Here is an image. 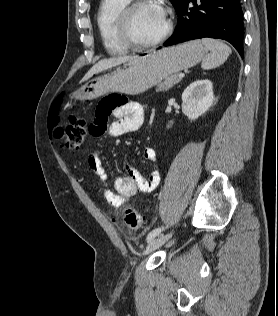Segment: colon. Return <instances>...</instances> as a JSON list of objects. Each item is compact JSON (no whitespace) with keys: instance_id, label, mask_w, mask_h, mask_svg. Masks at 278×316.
Segmentation results:
<instances>
[{"instance_id":"1","label":"colon","mask_w":278,"mask_h":316,"mask_svg":"<svg viewBox=\"0 0 278 316\" xmlns=\"http://www.w3.org/2000/svg\"><path fill=\"white\" fill-rule=\"evenodd\" d=\"M86 128V120L80 115L73 114L70 116L67 126L55 132V137L63 139L64 145L68 150H76L82 145L84 141ZM123 221L125 225L131 230H137L143 226L142 216L132 207H128L124 211Z\"/></svg>"}]
</instances>
